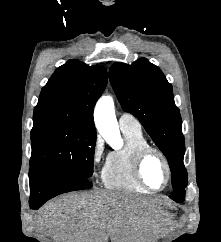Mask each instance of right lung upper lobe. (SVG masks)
I'll use <instances>...</instances> for the list:
<instances>
[{
    "instance_id": "1",
    "label": "right lung upper lobe",
    "mask_w": 221,
    "mask_h": 242,
    "mask_svg": "<svg viewBox=\"0 0 221 242\" xmlns=\"http://www.w3.org/2000/svg\"><path fill=\"white\" fill-rule=\"evenodd\" d=\"M108 80L106 69L69 60L60 66L42 88L34 109V126L76 125L95 131L93 110Z\"/></svg>"
}]
</instances>
